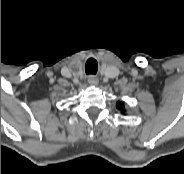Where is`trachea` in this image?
<instances>
[{"label":"trachea","mask_w":184,"mask_h":174,"mask_svg":"<svg viewBox=\"0 0 184 174\" xmlns=\"http://www.w3.org/2000/svg\"><path fill=\"white\" fill-rule=\"evenodd\" d=\"M98 70V64L96 60L89 59L85 64L86 74H96Z\"/></svg>","instance_id":"trachea-1"}]
</instances>
